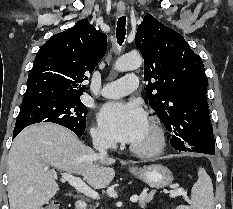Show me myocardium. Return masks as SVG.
Here are the masks:
<instances>
[{"mask_svg": "<svg viewBox=\"0 0 233 209\" xmlns=\"http://www.w3.org/2000/svg\"><path fill=\"white\" fill-rule=\"evenodd\" d=\"M149 125L154 134L152 145L141 148L130 145V151L139 157H154L162 153L166 146V134L161 124L155 118H149Z\"/></svg>", "mask_w": 233, "mask_h": 209, "instance_id": "1", "label": "myocardium"}]
</instances>
